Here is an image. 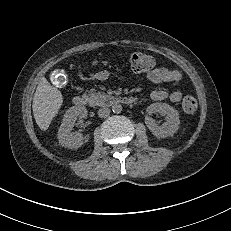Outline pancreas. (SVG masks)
Here are the masks:
<instances>
[{
	"instance_id": "pancreas-1",
	"label": "pancreas",
	"mask_w": 231,
	"mask_h": 231,
	"mask_svg": "<svg viewBox=\"0 0 231 231\" xmlns=\"http://www.w3.org/2000/svg\"><path fill=\"white\" fill-rule=\"evenodd\" d=\"M109 99H111V96L109 94H105L102 92H93L89 94L88 101L91 106H100L104 105L105 102H107Z\"/></svg>"
}]
</instances>
